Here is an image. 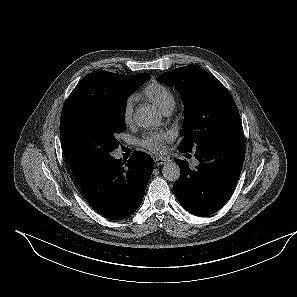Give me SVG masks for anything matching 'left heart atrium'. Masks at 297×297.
I'll return each instance as SVG.
<instances>
[{
  "mask_svg": "<svg viewBox=\"0 0 297 297\" xmlns=\"http://www.w3.org/2000/svg\"><path fill=\"white\" fill-rule=\"evenodd\" d=\"M169 139L170 134L166 132H150L142 138L140 144L153 153H160L163 150L164 143Z\"/></svg>",
  "mask_w": 297,
  "mask_h": 297,
  "instance_id": "1",
  "label": "left heart atrium"
}]
</instances>
